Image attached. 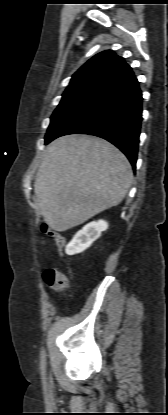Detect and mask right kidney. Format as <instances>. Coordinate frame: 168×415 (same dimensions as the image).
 <instances>
[{"instance_id":"right-kidney-1","label":"right kidney","mask_w":168,"mask_h":415,"mask_svg":"<svg viewBox=\"0 0 168 415\" xmlns=\"http://www.w3.org/2000/svg\"><path fill=\"white\" fill-rule=\"evenodd\" d=\"M108 223L104 220L90 222L78 231L71 242L66 246L67 255H74L89 248L92 243L101 236V232L107 230Z\"/></svg>"}]
</instances>
